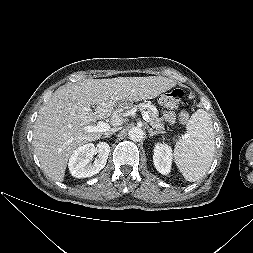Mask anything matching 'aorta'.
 <instances>
[{
	"label": "aorta",
	"instance_id": "aorta-1",
	"mask_svg": "<svg viewBox=\"0 0 253 253\" xmlns=\"http://www.w3.org/2000/svg\"><path fill=\"white\" fill-rule=\"evenodd\" d=\"M128 136L130 140L138 142L144 138V131L139 127H133L129 130Z\"/></svg>",
	"mask_w": 253,
	"mask_h": 253
}]
</instances>
